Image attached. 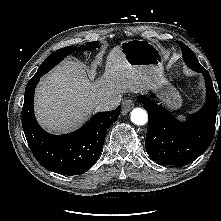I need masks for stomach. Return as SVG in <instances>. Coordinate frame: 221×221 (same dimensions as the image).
Masks as SVG:
<instances>
[{"label": "stomach", "instance_id": "stomach-1", "mask_svg": "<svg viewBox=\"0 0 221 221\" xmlns=\"http://www.w3.org/2000/svg\"><path fill=\"white\" fill-rule=\"evenodd\" d=\"M127 63L136 68L145 80L146 87L172 109H178L181 96L164 78L163 52L160 47L143 39H130L120 44Z\"/></svg>", "mask_w": 221, "mask_h": 221}]
</instances>
